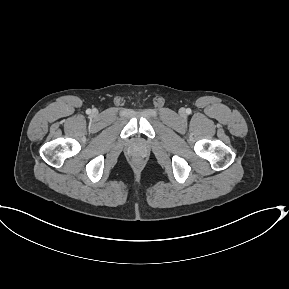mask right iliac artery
<instances>
[{
    "mask_svg": "<svg viewBox=\"0 0 289 289\" xmlns=\"http://www.w3.org/2000/svg\"><path fill=\"white\" fill-rule=\"evenodd\" d=\"M86 113H87V114H90V113H91V110H90V109H87Z\"/></svg>",
    "mask_w": 289,
    "mask_h": 289,
    "instance_id": "1",
    "label": "right iliac artery"
}]
</instances>
